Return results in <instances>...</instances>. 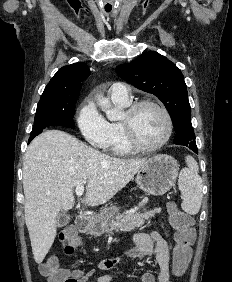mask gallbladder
Masks as SVG:
<instances>
[{"label": "gallbladder", "mask_w": 232, "mask_h": 282, "mask_svg": "<svg viewBox=\"0 0 232 282\" xmlns=\"http://www.w3.org/2000/svg\"><path fill=\"white\" fill-rule=\"evenodd\" d=\"M56 219L58 226H65L69 223L70 216L66 212L61 211L57 214Z\"/></svg>", "instance_id": "bac80fb5"}]
</instances>
